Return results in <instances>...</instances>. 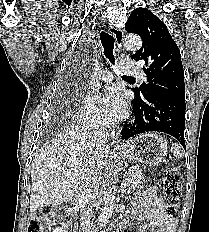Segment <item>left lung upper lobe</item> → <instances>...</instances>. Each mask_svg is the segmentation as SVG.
I'll return each mask as SVG.
<instances>
[{"label":"left lung upper lobe","mask_w":209,"mask_h":232,"mask_svg":"<svg viewBox=\"0 0 209 232\" xmlns=\"http://www.w3.org/2000/svg\"><path fill=\"white\" fill-rule=\"evenodd\" d=\"M125 29L143 39L140 50L131 56L143 60L147 83L134 88L132 102L168 96L185 99L184 71L178 46L166 25L146 8H137L130 14Z\"/></svg>","instance_id":"5c2ea615"}]
</instances>
